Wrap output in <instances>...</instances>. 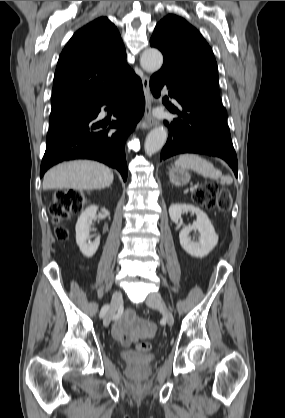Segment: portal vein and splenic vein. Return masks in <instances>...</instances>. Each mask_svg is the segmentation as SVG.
I'll list each match as a JSON object with an SVG mask.
<instances>
[{
    "mask_svg": "<svg viewBox=\"0 0 285 418\" xmlns=\"http://www.w3.org/2000/svg\"><path fill=\"white\" fill-rule=\"evenodd\" d=\"M199 187V184H195L192 188L191 191H194L195 189H197Z\"/></svg>",
    "mask_w": 285,
    "mask_h": 418,
    "instance_id": "portal-vein-and-splenic-vein-1",
    "label": "portal vein and splenic vein"
}]
</instances>
